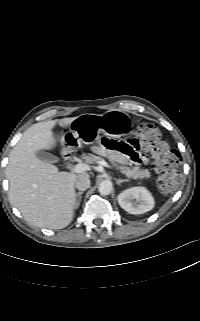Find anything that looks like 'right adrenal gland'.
Wrapping results in <instances>:
<instances>
[{
	"label": "right adrenal gland",
	"mask_w": 200,
	"mask_h": 321,
	"mask_svg": "<svg viewBox=\"0 0 200 321\" xmlns=\"http://www.w3.org/2000/svg\"><path fill=\"white\" fill-rule=\"evenodd\" d=\"M84 191H80L75 194V208L77 209L80 205L81 199H82V194Z\"/></svg>",
	"instance_id": "2a0ac1e0"
}]
</instances>
